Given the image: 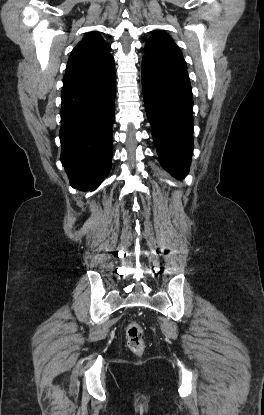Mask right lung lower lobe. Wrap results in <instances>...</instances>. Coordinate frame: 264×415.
Segmentation results:
<instances>
[{"mask_svg":"<svg viewBox=\"0 0 264 415\" xmlns=\"http://www.w3.org/2000/svg\"><path fill=\"white\" fill-rule=\"evenodd\" d=\"M60 160L73 188L96 189L111 169L115 72L63 86Z\"/></svg>","mask_w":264,"mask_h":415,"instance_id":"obj_1","label":"right lung lower lobe"}]
</instances>
